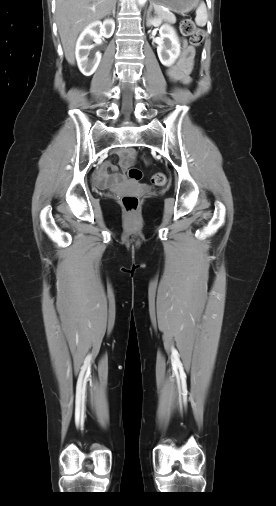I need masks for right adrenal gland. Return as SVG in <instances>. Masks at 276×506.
<instances>
[{
    "label": "right adrenal gland",
    "instance_id": "2a0ac1e0",
    "mask_svg": "<svg viewBox=\"0 0 276 506\" xmlns=\"http://www.w3.org/2000/svg\"><path fill=\"white\" fill-rule=\"evenodd\" d=\"M115 10H116V1L113 5V8H112V14H113V17H115Z\"/></svg>",
    "mask_w": 276,
    "mask_h": 506
}]
</instances>
